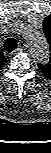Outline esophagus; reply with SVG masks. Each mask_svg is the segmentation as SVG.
Returning <instances> with one entry per match:
<instances>
[{
    "label": "esophagus",
    "mask_w": 51,
    "mask_h": 153,
    "mask_svg": "<svg viewBox=\"0 0 51 153\" xmlns=\"http://www.w3.org/2000/svg\"><path fill=\"white\" fill-rule=\"evenodd\" d=\"M23 49L22 48H17L16 50H14L12 52L13 55L18 54V53H22Z\"/></svg>",
    "instance_id": "obj_1"
}]
</instances>
